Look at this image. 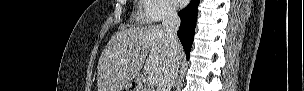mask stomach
Instances as JSON below:
<instances>
[{"mask_svg":"<svg viewBox=\"0 0 304 91\" xmlns=\"http://www.w3.org/2000/svg\"><path fill=\"white\" fill-rule=\"evenodd\" d=\"M130 91V87L129 86H125L121 91Z\"/></svg>","mask_w":304,"mask_h":91,"instance_id":"obj_1","label":"stomach"}]
</instances>
